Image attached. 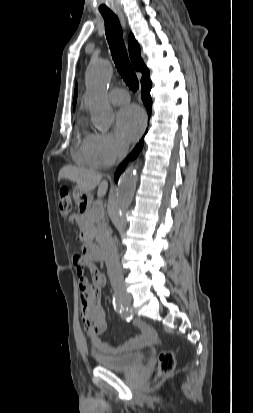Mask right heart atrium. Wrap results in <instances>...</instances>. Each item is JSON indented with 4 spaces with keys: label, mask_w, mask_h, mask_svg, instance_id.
Listing matches in <instances>:
<instances>
[{
    "label": "right heart atrium",
    "mask_w": 253,
    "mask_h": 413,
    "mask_svg": "<svg viewBox=\"0 0 253 413\" xmlns=\"http://www.w3.org/2000/svg\"><path fill=\"white\" fill-rule=\"evenodd\" d=\"M91 142L102 165H110L126 151L125 145L111 133L92 134Z\"/></svg>",
    "instance_id": "1"
}]
</instances>
